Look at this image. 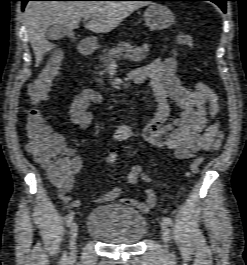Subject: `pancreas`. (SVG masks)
<instances>
[{
    "instance_id": "pancreas-1",
    "label": "pancreas",
    "mask_w": 247,
    "mask_h": 265,
    "mask_svg": "<svg viewBox=\"0 0 247 265\" xmlns=\"http://www.w3.org/2000/svg\"><path fill=\"white\" fill-rule=\"evenodd\" d=\"M148 51V48L135 47L129 42H120L114 48L103 50V54L99 56L101 63L99 68L101 70L98 72V75L100 78H97L96 82H98L100 86L103 85L102 77L107 72V68L113 59H129L132 62L138 63L147 58Z\"/></svg>"
}]
</instances>
